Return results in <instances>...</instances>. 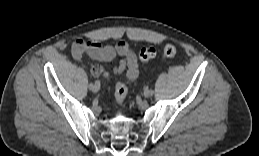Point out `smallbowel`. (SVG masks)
Wrapping results in <instances>:
<instances>
[{
  "instance_id": "c3829d8e",
  "label": "small bowel",
  "mask_w": 259,
  "mask_h": 156,
  "mask_svg": "<svg viewBox=\"0 0 259 156\" xmlns=\"http://www.w3.org/2000/svg\"><path fill=\"white\" fill-rule=\"evenodd\" d=\"M71 53L73 58L77 61L81 60L84 54H87L92 59L104 62H110L116 56H119L121 60L118 65L114 67L113 72L120 74L126 71L128 82H133L138 77L137 57L126 42H119L114 46H103L97 41L80 39L72 44ZM90 72L95 77H109V74L101 66H92Z\"/></svg>"
}]
</instances>
